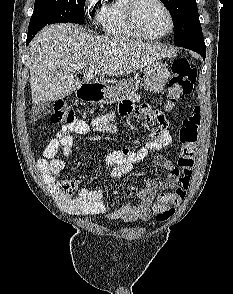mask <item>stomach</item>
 <instances>
[{
    "label": "stomach",
    "instance_id": "0dacf381",
    "mask_svg": "<svg viewBox=\"0 0 233 294\" xmlns=\"http://www.w3.org/2000/svg\"><path fill=\"white\" fill-rule=\"evenodd\" d=\"M170 77V71L161 62H153L144 70V84L143 87L152 92H161ZM137 89L138 86L133 80L120 81L116 87H102L93 96V100L98 103H113L114 101L121 98V96L126 95L128 89Z\"/></svg>",
    "mask_w": 233,
    "mask_h": 294
}]
</instances>
